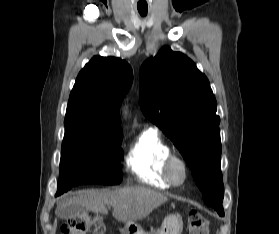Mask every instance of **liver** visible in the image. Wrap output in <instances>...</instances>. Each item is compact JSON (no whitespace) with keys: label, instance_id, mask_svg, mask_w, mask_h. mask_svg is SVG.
Segmentation results:
<instances>
[{"label":"liver","instance_id":"liver-1","mask_svg":"<svg viewBox=\"0 0 279 234\" xmlns=\"http://www.w3.org/2000/svg\"><path fill=\"white\" fill-rule=\"evenodd\" d=\"M166 201L168 198L164 194L140 186L124 187L116 191L87 190L59 203L56 212L60 216L69 205H80L90 211L107 214L106 205H111L113 217L127 223L147 217Z\"/></svg>","mask_w":279,"mask_h":234}]
</instances>
